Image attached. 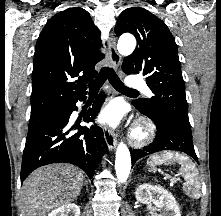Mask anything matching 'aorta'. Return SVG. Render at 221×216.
Here are the masks:
<instances>
[{
    "label": "aorta",
    "instance_id": "obj_1",
    "mask_svg": "<svg viewBox=\"0 0 221 216\" xmlns=\"http://www.w3.org/2000/svg\"><path fill=\"white\" fill-rule=\"evenodd\" d=\"M136 47V40L130 34L122 35L117 44L118 52L121 55H130ZM131 169V156L127 146L121 142L116 151L115 171L117 179L120 183L127 180Z\"/></svg>",
    "mask_w": 221,
    "mask_h": 216
}]
</instances>
